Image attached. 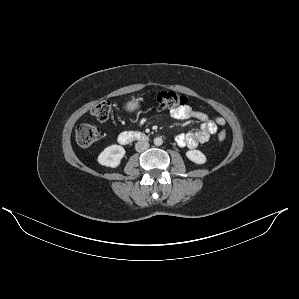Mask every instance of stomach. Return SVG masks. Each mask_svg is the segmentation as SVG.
I'll return each mask as SVG.
<instances>
[{
    "label": "stomach",
    "instance_id": "stomach-1",
    "mask_svg": "<svg viewBox=\"0 0 299 299\" xmlns=\"http://www.w3.org/2000/svg\"><path fill=\"white\" fill-rule=\"evenodd\" d=\"M138 107V102L136 101H130L127 103V109L130 111L135 110Z\"/></svg>",
    "mask_w": 299,
    "mask_h": 299
}]
</instances>
